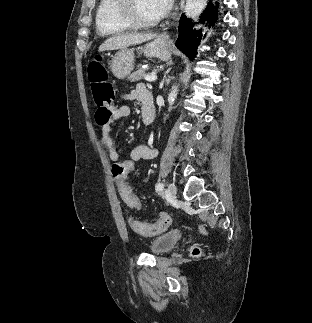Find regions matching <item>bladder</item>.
<instances>
[{
	"label": "bladder",
	"mask_w": 312,
	"mask_h": 323,
	"mask_svg": "<svg viewBox=\"0 0 312 323\" xmlns=\"http://www.w3.org/2000/svg\"><path fill=\"white\" fill-rule=\"evenodd\" d=\"M179 233L170 231L164 234L157 235L150 242V250L154 255H159L169 252L173 246L178 243Z\"/></svg>",
	"instance_id": "bladder-1"
}]
</instances>
